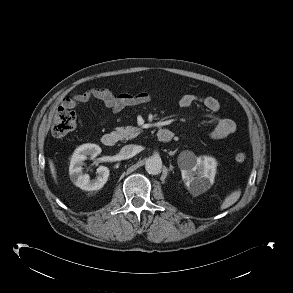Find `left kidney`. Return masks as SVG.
Returning <instances> with one entry per match:
<instances>
[{
    "mask_svg": "<svg viewBox=\"0 0 293 293\" xmlns=\"http://www.w3.org/2000/svg\"><path fill=\"white\" fill-rule=\"evenodd\" d=\"M217 162L209 156L195 157L181 166L184 183L192 195H200L214 183Z\"/></svg>",
    "mask_w": 293,
    "mask_h": 293,
    "instance_id": "5707ae66",
    "label": "left kidney"
}]
</instances>
